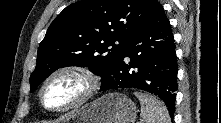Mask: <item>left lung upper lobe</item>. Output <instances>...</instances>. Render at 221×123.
<instances>
[{
	"instance_id": "obj_1",
	"label": "left lung upper lobe",
	"mask_w": 221,
	"mask_h": 123,
	"mask_svg": "<svg viewBox=\"0 0 221 123\" xmlns=\"http://www.w3.org/2000/svg\"><path fill=\"white\" fill-rule=\"evenodd\" d=\"M156 0H83L67 6L49 26L30 76L31 92L55 70L88 67L106 77ZM119 42V44H115Z\"/></svg>"
}]
</instances>
